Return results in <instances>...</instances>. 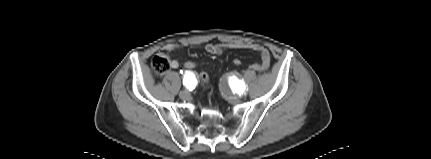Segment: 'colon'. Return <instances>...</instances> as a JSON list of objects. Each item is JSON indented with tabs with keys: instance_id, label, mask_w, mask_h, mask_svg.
<instances>
[{
	"instance_id": "1",
	"label": "colon",
	"mask_w": 431,
	"mask_h": 159,
	"mask_svg": "<svg viewBox=\"0 0 431 159\" xmlns=\"http://www.w3.org/2000/svg\"><path fill=\"white\" fill-rule=\"evenodd\" d=\"M241 64L240 59H234L233 65L238 67ZM170 63L166 56L158 55L153 58L152 61V69L156 75L162 76L169 71ZM199 68V63L196 59H189L185 61V70L187 71H196ZM200 83L202 87L208 88L210 86L209 76L206 73V66H203V70H201L200 74Z\"/></svg>"
}]
</instances>
